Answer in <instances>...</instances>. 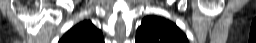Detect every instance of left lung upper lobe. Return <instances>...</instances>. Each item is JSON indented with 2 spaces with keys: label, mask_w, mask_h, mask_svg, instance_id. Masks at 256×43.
Segmentation results:
<instances>
[{
  "label": "left lung upper lobe",
  "mask_w": 256,
  "mask_h": 43,
  "mask_svg": "<svg viewBox=\"0 0 256 43\" xmlns=\"http://www.w3.org/2000/svg\"><path fill=\"white\" fill-rule=\"evenodd\" d=\"M136 43H189L186 35L162 17L147 16L136 32Z\"/></svg>",
  "instance_id": "1"
}]
</instances>
